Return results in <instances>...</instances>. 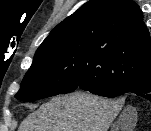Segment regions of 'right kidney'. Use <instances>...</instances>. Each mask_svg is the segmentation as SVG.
I'll return each mask as SVG.
<instances>
[{
	"instance_id": "1",
	"label": "right kidney",
	"mask_w": 151,
	"mask_h": 131,
	"mask_svg": "<svg viewBox=\"0 0 151 131\" xmlns=\"http://www.w3.org/2000/svg\"><path fill=\"white\" fill-rule=\"evenodd\" d=\"M125 119L128 120L129 122H131V121L133 120V117L130 116V115H126V116H125ZM118 126H122V122H121V121H119V122L113 127V130H114V131L117 130V127H118ZM122 130H123V131H132V130H133V126L124 127Z\"/></svg>"
}]
</instances>
